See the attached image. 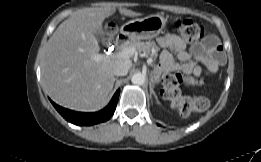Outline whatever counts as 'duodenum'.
<instances>
[{
    "label": "duodenum",
    "mask_w": 261,
    "mask_h": 162,
    "mask_svg": "<svg viewBox=\"0 0 261 162\" xmlns=\"http://www.w3.org/2000/svg\"><path fill=\"white\" fill-rule=\"evenodd\" d=\"M128 42V36L125 34H120L117 37L116 44L118 46H124Z\"/></svg>",
    "instance_id": "duodenum-1"
}]
</instances>
